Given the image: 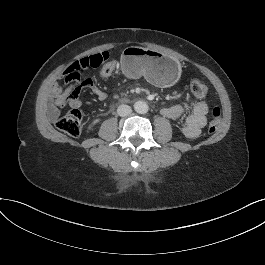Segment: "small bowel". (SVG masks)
<instances>
[{"label":"small bowel","instance_id":"small-bowel-1","mask_svg":"<svg viewBox=\"0 0 265 265\" xmlns=\"http://www.w3.org/2000/svg\"><path fill=\"white\" fill-rule=\"evenodd\" d=\"M83 90H89L100 101L107 98V93L100 89L91 79L83 80L77 87L62 89L59 85H54L50 104V117L55 118L58 114V109L69 105L72 108L82 106V101L79 98ZM209 111L208 104L205 101H197L190 113H186L185 106L176 104L171 107L163 108L162 114L170 119H184L182 128L183 134L187 138H196L200 135L202 128L207 122V114Z\"/></svg>","mask_w":265,"mask_h":265}]
</instances>
